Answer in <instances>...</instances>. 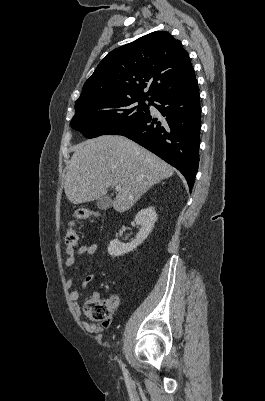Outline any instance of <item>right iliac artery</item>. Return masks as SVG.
Listing matches in <instances>:
<instances>
[{"instance_id": "1", "label": "right iliac artery", "mask_w": 265, "mask_h": 401, "mask_svg": "<svg viewBox=\"0 0 265 401\" xmlns=\"http://www.w3.org/2000/svg\"><path fill=\"white\" fill-rule=\"evenodd\" d=\"M119 364H120V366H121V368H122L123 373H124V374H128V371L125 369V365L122 363L121 360H119Z\"/></svg>"}]
</instances>
